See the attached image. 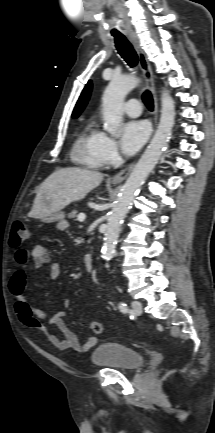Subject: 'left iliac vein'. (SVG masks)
<instances>
[{"label":"left iliac vein","instance_id":"1","mask_svg":"<svg viewBox=\"0 0 215 433\" xmlns=\"http://www.w3.org/2000/svg\"><path fill=\"white\" fill-rule=\"evenodd\" d=\"M131 305H132L133 312L136 315L142 314V304L139 301L134 300V301H132Z\"/></svg>","mask_w":215,"mask_h":433}]
</instances>
